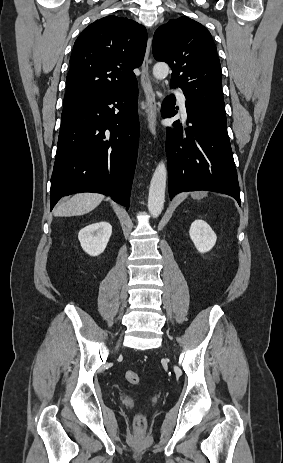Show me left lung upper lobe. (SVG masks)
<instances>
[{"label": "left lung upper lobe", "instance_id": "5c2ea615", "mask_svg": "<svg viewBox=\"0 0 283 463\" xmlns=\"http://www.w3.org/2000/svg\"><path fill=\"white\" fill-rule=\"evenodd\" d=\"M153 55L169 64L170 85L182 89L186 102L226 121L221 65L212 36L203 25L188 17L169 20L154 34Z\"/></svg>", "mask_w": 283, "mask_h": 463}]
</instances>
